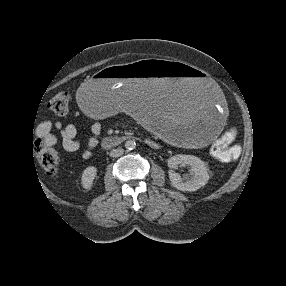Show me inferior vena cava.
Segmentation results:
<instances>
[{
    "label": "inferior vena cava",
    "instance_id": "1",
    "mask_svg": "<svg viewBox=\"0 0 286 286\" xmlns=\"http://www.w3.org/2000/svg\"><path fill=\"white\" fill-rule=\"evenodd\" d=\"M123 153H124V150L122 148H117V149H113L110 152V156L111 157H119V156L123 155Z\"/></svg>",
    "mask_w": 286,
    "mask_h": 286
}]
</instances>
